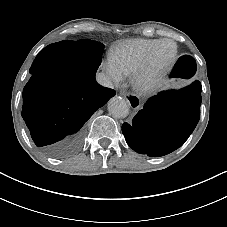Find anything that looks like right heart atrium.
Wrapping results in <instances>:
<instances>
[{"label": "right heart atrium", "instance_id": "obj_1", "mask_svg": "<svg viewBox=\"0 0 227 227\" xmlns=\"http://www.w3.org/2000/svg\"><path fill=\"white\" fill-rule=\"evenodd\" d=\"M102 69L112 86H118L125 79L126 73L124 70L111 60L103 62Z\"/></svg>", "mask_w": 227, "mask_h": 227}]
</instances>
